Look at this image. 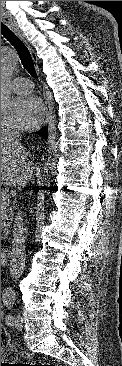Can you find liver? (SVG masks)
I'll use <instances>...</instances> for the list:
<instances>
[{"instance_id": "liver-1", "label": "liver", "mask_w": 122, "mask_h": 366, "mask_svg": "<svg viewBox=\"0 0 122 366\" xmlns=\"http://www.w3.org/2000/svg\"><path fill=\"white\" fill-rule=\"evenodd\" d=\"M33 169L29 153L23 155L15 147L9 146L1 133V185L25 186L32 178Z\"/></svg>"}]
</instances>
